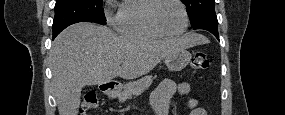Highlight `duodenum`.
I'll use <instances>...</instances> for the list:
<instances>
[{"mask_svg":"<svg viewBox=\"0 0 285 115\" xmlns=\"http://www.w3.org/2000/svg\"><path fill=\"white\" fill-rule=\"evenodd\" d=\"M116 88H117V83L114 82H107L101 85V90L105 94H110Z\"/></svg>","mask_w":285,"mask_h":115,"instance_id":"410a0bca","label":"duodenum"}]
</instances>
